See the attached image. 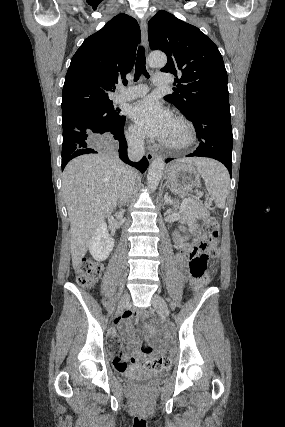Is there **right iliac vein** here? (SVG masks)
<instances>
[{
  "label": "right iliac vein",
  "mask_w": 285,
  "mask_h": 427,
  "mask_svg": "<svg viewBox=\"0 0 285 427\" xmlns=\"http://www.w3.org/2000/svg\"><path fill=\"white\" fill-rule=\"evenodd\" d=\"M129 300H130L129 294L125 293L119 302L117 314H120L121 312H123L126 309L128 303H129Z\"/></svg>",
  "instance_id": "63e3f726"
}]
</instances>
